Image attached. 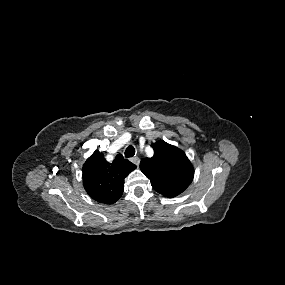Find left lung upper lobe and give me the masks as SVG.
I'll return each mask as SVG.
<instances>
[{
    "mask_svg": "<svg viewBox=\"0 0 285 285\" xmlns=\"http://www.w3.org/2000/svg\"><path fill=\"white\" fill-rule=\"evenodd\" d=\"M154 156L141 160L140 169L160 194L179 195L192 182L194 169L179 148L159 140L152 144Z\"/></svg>",
    "mask_w": 285,
    "mask_h": 285,
    "instance_id": "obj_1",
    "label": "left lung upper lobe"
}]
</instances>
